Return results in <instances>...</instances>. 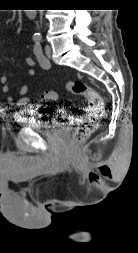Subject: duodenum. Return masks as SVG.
Here are the masks:
<instances>
[{
    "label": "duodenum",
    "mask_w": 138,
    "mask_h": 253,
    "mask_svg": "<svg viewBox=\"0 0 138 253\" xmlns=\"http://www.w3.org/2000/svg\"><path fill=\"white\" fill-rule=\"evenodd\" d=\"M36 14L37 12L35 11V9H28V11L26 12V15L29 19H35Z\"/></svg>",
    "instance_id": "1"
}]
</instances>
